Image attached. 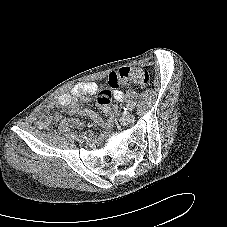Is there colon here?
<instances>
[{"instance_id": "1", "label": "colon", "mask_w": 227, "mask_h": 227, "mask_svg": "<svg viewBox=\"0 0 227 227\" xmlns=\"http://www.w3.org/2000/svg\"><path fill=\"white\" fill-rule=\"evenodd\" d=\"M150 82L149 73L139 67H123L113 71L108 76V89L101 91L96 98V103L102 112L112 106V92L120 86L133 83L140 87H146Z\"/></svg>"}]
</instances>
